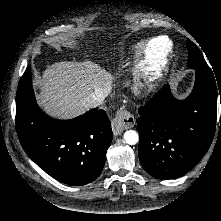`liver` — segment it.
Returning a JSON list of instances; mask_svg holds the SVG:
<instances>
[{
	"instance_id": "liver-1",
	"label": "liver",
	"mask_w": 221,
	"mask_h": 221,
	"mask_svg": "<svg viewBox=\"0 0 221 221\" xmlns=\"http://www.w3.org/2000/svg\"><path fill=\"white\" fill-rule=\"evenodd\" d=\"M113 76L92 61L57 62L42 75L39 105L57 118H73L87 108L84 100L96 88L111 89Z\"/></svg>"
}]
</instances>
